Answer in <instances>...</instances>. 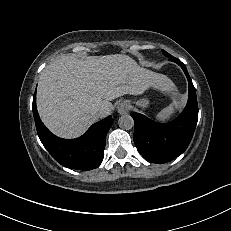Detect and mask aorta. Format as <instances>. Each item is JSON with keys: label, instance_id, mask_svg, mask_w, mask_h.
Returning <instances> with one entry per match:
<instances>
[{"label": "aorta", "instance_id": "obj_1", "mask_svg": "<svg viewBox=\"0 0 231 231\" xmlns=\"http://www.w3.org/2000/svg\"><path fill=\"white\" fill-rule=\"evenodd\" d=\"M118 124L120 128L130 130L134 127V120L130 115L126 114L119 118Z\"/></svg>", "mask_w": 231, "mask_h": 231}]
</instances>
